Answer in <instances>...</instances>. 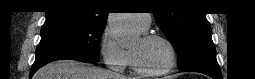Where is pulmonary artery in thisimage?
Returning <instances> with one entry per match:
<instances>
[{
    "mask_svg": "<svg viewBox=\"0 0 255 79\" xmlns=\"http://www.w3.org/2000/svg\"><path fill=\"white\" fill-rule=\"evenodd\" d=\"M135 25L143 32L147 31L151 24V14H133Z\"/></svg>",
    "mask_w": 255,
    "mask_h": 79,
    "instance_id": "1",
    "label": "pulmonary artery"
}]
</instances>
